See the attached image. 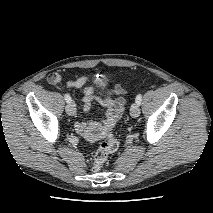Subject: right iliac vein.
<instances>
[{"label":"right iliac vein","mask_w":213,"mask_h":213,"mask_svg":"<svg viewBox=\"0 0 213 213\" xmlns=\"http://www.w3.org/2000/svg\"><path fill=\"white\" fill-rule=\"evenodd\" d=\"M66 113L71 116L76 114V105L74 102H70L66 105Z\"/></svg>","instance_id":"63e3f726"}]
</instances>
